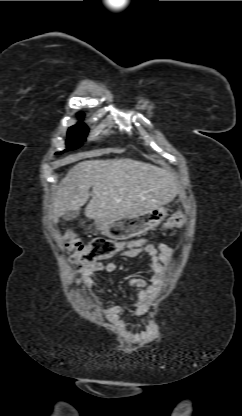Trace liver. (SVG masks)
Masks as SVG:
<instances>
[{
	"label": "liver",
	"instance_id": "liver-1",
	"mask_svg": "<svg viewBox=\"0 0 242 416\" xmlns=\"http://www.w3.org/2000/svg\"><path fill=\"white\" fill-rule=\"evenodd\" d=\"M93 220L137 215L171 202L181 188L170 169L130 158L87 160L73 166L61 180L53 203V222L67 210Z\"/></svg>",
	"mask_w": 242,
	"mask_h": 416
}]
</instances>
